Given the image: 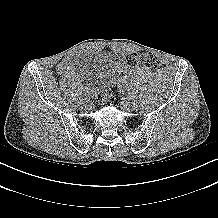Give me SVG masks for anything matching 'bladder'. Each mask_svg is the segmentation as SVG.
Returning <instances> with one entry per match:
<instances>
[{
  "label": "bladder",
  "instance_id": "bladder-1",
  "mask_svg": "<svg viewBox=\"0 0 218 218\" xmlns=\"http://www.w3.org/2000/svg\"><path fill=\"white\" fill-rule=\"evenodd\" d=\"M115 62L114 56L106 52L86 54L81 57L84 73L97 88L108 85L115 78Z\"/></svg>",
  "mask_w": 218,
  "mask_h": 218
}]
</instances>
